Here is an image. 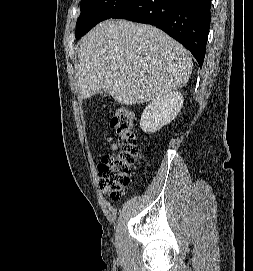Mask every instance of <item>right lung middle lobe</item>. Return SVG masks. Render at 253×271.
I'll return each mask as SVG.
<instances>
[{
  "label": "right lung middle lobe",
  "mask_w": 253,
  "mask_h": 271,
  "mask_svg": "<svg viewBox=\"0 0 253 271\" xmlns=\"http://www.w3.org/2000/svg\"><path fill=\"white\" fill-rule=\"evenodd\" d=\"M130 0H81V14L76 24V39L99 22L111 18Z\"/></svg>",
  "instance_id": "1"
}]
</instances>
